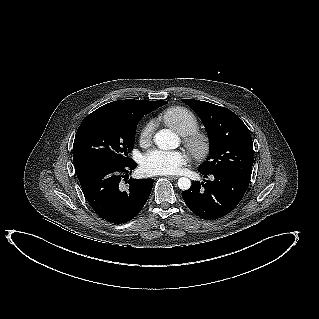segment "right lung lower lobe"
<instances>
[{
    "mask_svg": "<svg viewBox=\"0 0 319 319\" xmlns=\"http://www.w3.org/2000/svg\"><path fill=\"white\" fill-rule=\"evenodd\" d=\"M131 159L126 165L93 166L77 174L82 191L92 209L105 221L115 224L126 223L134 218L148 200L153 179H127L129 188L122 190L120 181L126 179L121 171L136 168ZM127 172V171H126Z\"/></svg>",
    "mask_w": 319,
    "mask_h": 319,
    "instance_id": "obj_1",
    "label": "right lung lower lobe"
}]
</instances>
